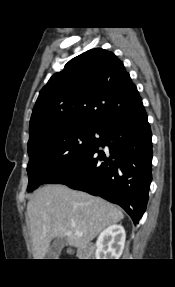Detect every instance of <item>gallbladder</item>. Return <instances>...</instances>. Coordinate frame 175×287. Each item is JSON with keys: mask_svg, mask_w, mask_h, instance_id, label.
I'll use <instances>...</instances> for the list:
<instances>
[{"mask_svg": "<svg viewBox=\"0 0 175 287\" xmlns=\"http://www.w3.org/2000/svg\"><path fill=\"white\" fill-rule=\"evenodd\" d=\"M67 244V238L61 237L54 240V242L50 245L48 252L46 254V259H55L59 256L61 250Z\"/></svg>", "mask_w": 175, "mask_h": 287, "instance_id": "1", "label": "gallbladder"}]
</instances>
